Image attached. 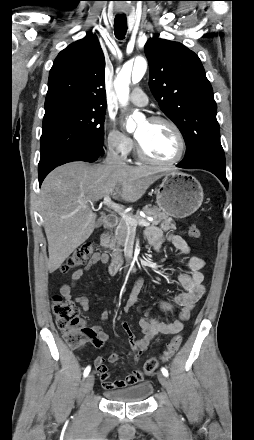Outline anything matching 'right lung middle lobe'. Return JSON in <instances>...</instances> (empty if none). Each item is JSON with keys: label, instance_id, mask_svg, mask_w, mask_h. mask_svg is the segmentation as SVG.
I'll return each mask as SVG.
<instances>
[{"label": "right lung middle lobe", "instance_id": "right-lung-middle-lobe-1", "mask_svg": "<svg viewBox=\"0 0 254 440\" xmlns=\"http://www.w3.org/2000/svg\"><path fill=\"white\" fill-rule=\"evenodd\" d=\"M105 109L70 103L45 108L38 176L67 158L103 153Z\"/></svg>", "mask_w": 254, "mask_h": 440}]
</instances>
